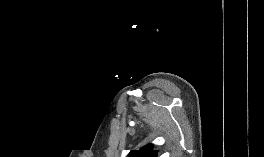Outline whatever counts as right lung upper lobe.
Returning <instances> with one entry per match:
<instances>
[{"label":"right lung upper lobe","mask_w":264,"mask_h":157,"mask_svg":"<svg viewBox=\"0 0 264 157\" xmlns=\"http://www.w3.org/2000/svg\"><path fill=\"white\" fill-rule=\"evenodd\" d=\"M129 157H158L157 150L153 149L152 144H148L139 150L130 152Z\"/></svg>","instance_id":"obj_1"}]
</instances>
